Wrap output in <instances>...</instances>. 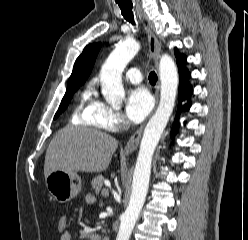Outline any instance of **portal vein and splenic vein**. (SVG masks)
I'll return each mask as SVG.
<instances>
[{"label":"portal vein and splenic vein","mask_w":248,"mask_h":240,"mask_svg":"<svg viewBox=\"0 0 248 240\" xmlns=\"http://www.w3.org/2000/svg\"><path fill=\"white\" fill-rule=\"evenodd\" d=\"M102 195H103V196H109V190H108L107 188H104V189L102 190Z\"/></svg>","instance_id":"portal-vein-and-splenic-vein-1"}]
</instances>
